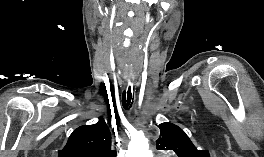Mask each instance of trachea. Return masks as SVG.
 <instances>
[{"label": "trachea", "mask_w": 264, "mask_h": 157, "mask_svg": "<svg viewBox=\"0 0 264 157\" xmlns=\"http://www.w3.org/2000/svg\"><path fill=\"white\" fill-rule=\"evenodd\" d=\"M134 98L133 85L130 75L127 77L126 87L122 94V104L125 109L132 107Z\"/></svg>", "instance_id": "trachea-1"}]
</instances>
